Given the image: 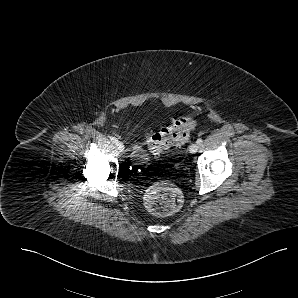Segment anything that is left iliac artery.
Wrapping results in <instances>:
<instances>
[{
	"label": "left iliac artery",
	"instance_id": "44dca946",
	"mask_svg": "<svg viewBox=\"0 0 298 298\" xmlns=\"http://www.w3.org/2000/svg\"><path fill=\"white\" fill-rule=\"evenodd\" d=\"M196 143H197L198 145H201V144L203 143L202 138L197 139Z\"/></svg>",
	"mask_w": 298,
	"mask_h": 298
}]
</instances>
